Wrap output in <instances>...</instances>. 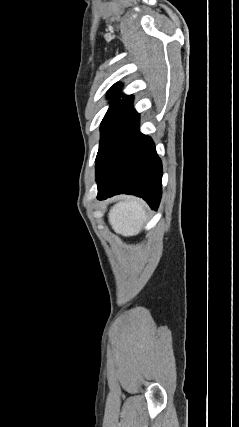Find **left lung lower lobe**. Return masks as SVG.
<instances>
[{
    "instance_id": "1",
    "label": "left lung lower lobe",
    "mask_w": 239,
    "mask_h": 427,
    "mask_svg": "<svg viewBox=\"0 0 239 427\" xmlns=\"http://www.w3.org/2000/svg\"><path fill=\"white\" fill-rule=\"evenodd\" d=\"M99 200L126 193L157 209L162 194V163L150 137L139 132V114L109 141L96 161Z\"/></svg>"
}]
</instances>
